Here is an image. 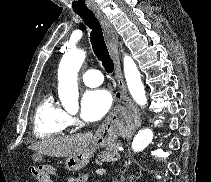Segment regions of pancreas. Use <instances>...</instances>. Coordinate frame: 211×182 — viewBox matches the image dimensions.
Returning <instances> with one entry per match:
<instances>
[{
  "mask_svg": "<svg viewBox=\"0 0 211 182\" xmlns=\"http://www.w3.org/2000/svg\"><path fill=\"white\" fill-rule=\"evenodd\" d=\"M120 158L118 152V145H112L107 150L102 151L95 160L96 163L101 164L104 162L117 161Z\"/></svg>",
  "mask_w": 211,
  "mask_h": 182,
  "instance_id": "1",
  "label": "pancreas"
}]
</instances>
